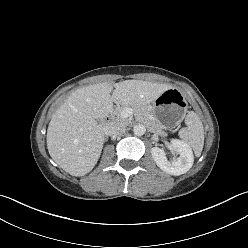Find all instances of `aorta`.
<instances>
[{
  "mask_svg": "<svg viewBox=\"0 0 248 248\" xmlns=\"http://www.w3.org/2000/svg\"><path fill=\"white\" fill-rule=\"evenodd\" d=\"M133 132L137 136H142L146 132V127L143 124H137L133 127Z\"/></svg>",
  "mask_w": 248,
  "mask_h": 248,
  "instance_id": "aorta-1",
  "label": "aorta"
}]
</instances>
